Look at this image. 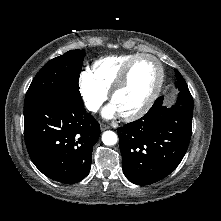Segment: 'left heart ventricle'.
Listing matches in <instances>:
<instances>
[{"label":"left heart ventricle","instance_id":"1","mask_svg":"<svg viewBox=\"0 0 221 221\" xmlns=\"http://www.w3.org/2000/svg\"><path fill=\"white\" fill-rule=\"evenodd\" d=\"M158 78L159 70L153 60H139L133 66L127 82L112 101L119 113H131L142 107L155 89Z\"/></svg>","mask_w":221,"mask_h":221}]
</instances>
